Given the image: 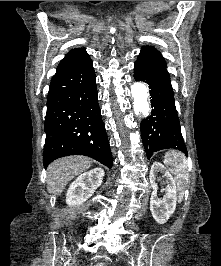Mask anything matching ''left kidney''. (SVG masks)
<instances>
[{"label":"left kidney","mask_w":221,"mask_h":266,"mask_svg":"<svg viewBox=\"0 0 221 266\" xmlns=\"http://www.w3.org/2000/svg\"><path fill=\"white\" fill-rule=\"evenodd\" d=\"M156 173L163 174L166 183V194L163 199H159L157 196V184ZM150 184L153 189L151 198H150V211L153 218L159 224H164L167 222L169 217L174 213L176 209L177 202V190L176 184L172 175L166 170L164 165L160 162H154L150 170Z\"/></svg>","instance_id":"left-kidney-1"}]
</instances>
